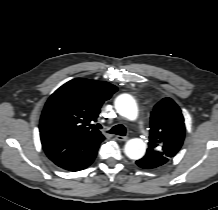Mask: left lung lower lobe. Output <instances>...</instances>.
Segmentation results:
<instances>
[{"mask_svg":"<svg viewBox=\"0 0 218 210\" xmlns=\"http://www.w3.org/2000/svg\"><path fill=\"white\" fill-rule=\"evenodd\" d=\"M137 165L140 166L141 168H156L158 166H156V164L152 161H150L147 157H143L139 160L136 161Z\"/></svg>","mask_w":218,"mask_h":210,"instance_id":"left-lung-lower-lobe-1","label":"left lung lower lobe"}]
</instances>
